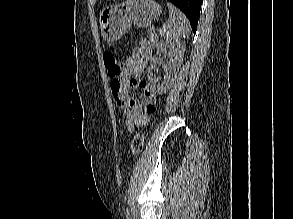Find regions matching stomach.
Returning a JSON list of instances; mask_svg holds the SVG:
<instances>
[{"label": "stomach", "instance_id": "obj_1", "mask_svg": "<svg viewBox=\"0 0 293 219\" xmlns=\"http://www.w3.org/2000/svg\"><path fill=\"white\" fill-rule=\"evenodd\" d=\"M161 6L154 0H126L104 8L99 16L102 37L108 42L118 41L132 24L145 28L160 16Z\"/></svg>", "mask_w": 293, "mask_h": 219}]
</instances>
